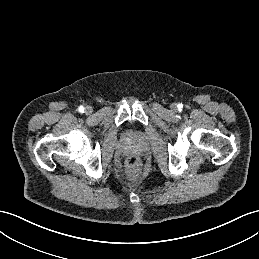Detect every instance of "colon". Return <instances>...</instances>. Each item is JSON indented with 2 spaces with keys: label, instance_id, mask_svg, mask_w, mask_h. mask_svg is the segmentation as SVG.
<instances>
[{
  "label": "colon",
  "instance_id": "1",
  "mask_svg": "<svg viewBox=\"0 0 259 259\" xmlns=\"http://www.w3.org/2000/svg\"><path fill=\"white\" fill-rule=\"evenodd\" d=\"M141 171V163L140 160L132 156L126 161V172L129 177L135 178L140 174Z\"/></svg>",
  "mask_w": 259,
  "mask_h": 259
}]
</instances>
